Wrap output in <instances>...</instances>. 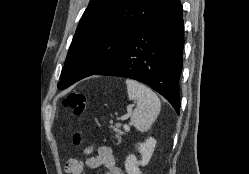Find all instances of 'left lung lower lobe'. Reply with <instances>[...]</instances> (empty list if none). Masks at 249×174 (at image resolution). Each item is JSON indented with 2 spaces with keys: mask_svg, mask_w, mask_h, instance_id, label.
<instances>
[{
  "mask_svg": "<svg viewBox=\"0 0 249 174\" xmlns=\"http://www.w3.org/2000/svg\"><path fill=\"white\" fill-rule=\"evenodd\" d=\"M180 0H164L122 52L94 75L135 79L164 96L179 114L184 23Z\"/></svg>",
  "mask_w": 249,
  "mask_h": 174,
  "instance_id": "obj_1",
  "label": "left lung lower lobe"
}]
</instances>
